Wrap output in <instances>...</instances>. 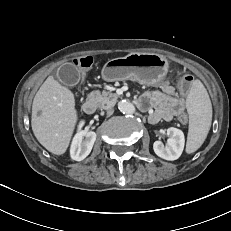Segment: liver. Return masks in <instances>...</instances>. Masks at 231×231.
Instances as JSON below:
<instances>
[{
	"mask_svg": "<svg viewBox=\"0 0 231 231\" xmlns=\"http://www.w3.org/2000/svg\"><path fill=\"white\" fill-rule=\"evenodd\" d=\"M77 120L73 93L48 76L32 104L31 126L35 137L49 152L62 155L70 144Z\"/></svg>",
	"mask_w": 231,
	"mask_h": 231,
	"instance_id": "1",
	"label": "liver"
}]
</instances>
